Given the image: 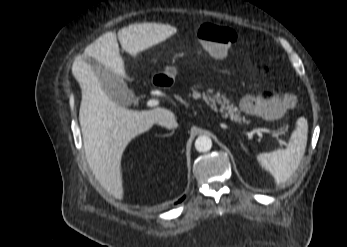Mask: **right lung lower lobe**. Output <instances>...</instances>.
<instances>
[{
    "label": "right lung lower lobe",
    "instance_id": "1",
    "mask_svg": "<svg viewBox=\"0 0 347 247\" xmlns=\"http://www.w3.org/2000/svg\"><path fill=\"white\" fill-rule=\"evenodd\" d=\"M183 199H184V197H182V198L179 200V202H181Z\"/></svg>",
    "mask_w": 347,
    "mask_h": 247
}]
</instances>
